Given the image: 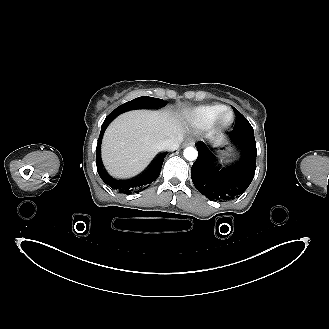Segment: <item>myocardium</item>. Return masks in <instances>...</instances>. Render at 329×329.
<instances>
[{
  "mask_svg": "<svg viewBox=\"0 0 329 329\" xmlns=\"http://www.w3.org/2000/svg\"><path fill=\"white\" fill-rule=\"evenodd\" d=\"M234 118L235 116L233 111L225 108L222 112L219 113V115L215 119V123L219 128H228L234 122Z\"/></svg>",
  "mask_w": 329,
  "mask_h": 329,
  "instance_id": "obj_1",
  "label": "myocardium"
}]
</instances>
